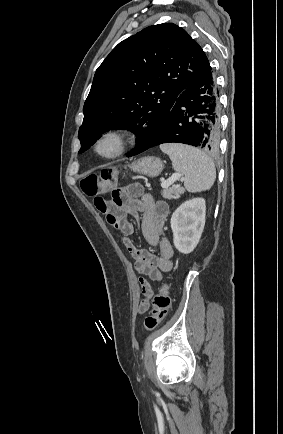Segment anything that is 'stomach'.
Listing matches in <instances>:
<instances>
[{"label": "stomach", "instance_id": "0dacf381", "mask_svg": "<svg viewBox=\"0 0 283 434\" xmlns=\"http://www.w3.org/2000/svg\"><path fill=\"white\" fill-rule=\"evenodd\" d=\"M134 172L146 175L148 177L158 176L162 169L163 163L161 159L157 157H143L129 166Z\"/></svg>", "mask_w": 283, "mask_h": 434}]
</instances>
